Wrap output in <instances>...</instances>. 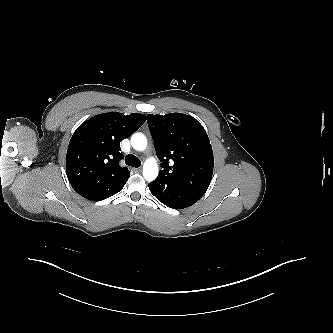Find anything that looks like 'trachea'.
Masks as SVG:
<instances>
[{
	"label": "trachea",
	"mask_w": 333,
	"mask_h": 333,
	"mask_svg": "<svg viewBox=\"0 0 333 333\" xmlns=\"http://www.w3.org/2000/svg\"><path fill=\"white\" fill-rule=\"evenodd\" d=\"M125 163L128 166H132V167H135V168H138L141 165L140 159L137 158L136 156H134L133 154H128L125 157Z\"/></svg>",
	"instance_id": "obj_1"
}]
</instances>
